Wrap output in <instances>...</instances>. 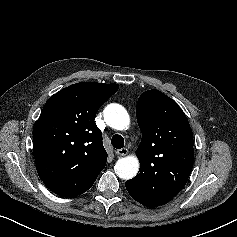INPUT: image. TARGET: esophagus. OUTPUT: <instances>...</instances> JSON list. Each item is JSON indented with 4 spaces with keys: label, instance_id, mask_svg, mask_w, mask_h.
<instances>
[{
    "label": "esophagus",
    "instance_id": "obj_1",
    "mask_svg": "<svg viewBox=\"0 0 237 237\" xmlns=\"http://www.w3.org/2000/svg\"><path fill=\"white\" fill-rule=\"evenodd\" d=\"M115 153L119 156H125L128 154V149L127 148L118 149L115 151Z\"/></svg>",
    "mask_w": 237,
    "mask_h": 237
}]
</instances>
